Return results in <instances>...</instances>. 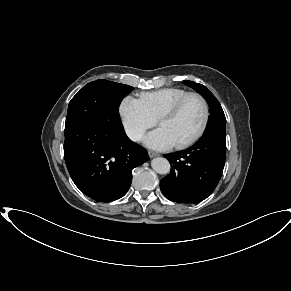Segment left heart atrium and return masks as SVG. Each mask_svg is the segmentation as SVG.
Instances as JSON below:
<instances>
[{
  "instance_id": "39dd6f15",
  "label": "left heart atrium",
  "mask_w": 291,
  "mask_h": 291,
  "mask_svg": "<svg viewBox=\"0 0 291 291\" xmlns=\"http://www.w3.org/2000/svg\"><path fill=\"white\" fill-rule=\"evenodd\" d=\"M144 143L146 146L156 150H166L175 145L173 140L168 136V134L162 128H158L153 132L149 133L145 139Z\"/></svg>"
}]
</instances>
